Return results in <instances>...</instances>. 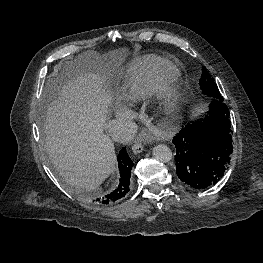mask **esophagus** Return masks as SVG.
I'll use <instances>...</instances> for the list:
<instances>
[{"label":"esophagus","instance_id":"obj_1","mask_svg":"<svg viewBox=\"0 0 263 263\" xmlns=\"http://www.w3.org/2000/svg\"><path fill=\"white\" fill-rule=\"evenodd\" d=\"M144 147L141 141H136L132 146V151L134 154H139L143 151Z\"/></svg>","mask_w":263,"mask_h":263}]
</instances>
